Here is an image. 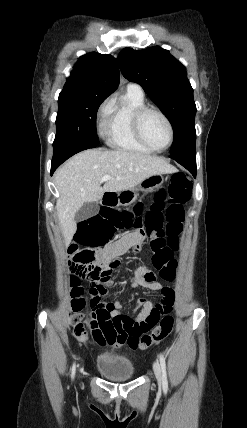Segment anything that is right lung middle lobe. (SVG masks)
Returning a JSON list of instances; mask_svg holds the SVG:
<instances>
[{
	"label": "right lung middle lobe",
	"instance_id": "obj_1",
	"mask_svg": "<svg viewBox=\"0 0 247 428\" xmlns=\"http://www.w3.org/2000/svg\"><path fill=\"white\" fill-rule=\"evenodd\" d=\"M106 98L107 96L84 92L59 95L54 150L96 147L99 144L96 115Z\"/></svg>",
	"mask_w": 247,
	"mask_h": 428
}]
</instances>
